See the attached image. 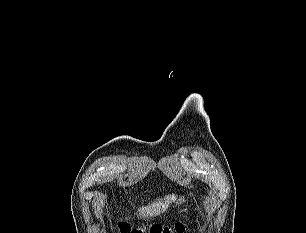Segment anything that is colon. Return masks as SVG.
I'll list each match as a JSON object with an SVG mask.
<instances>
[{"instance_id":"colon-1","label":"colon","mask_w":306,"mask_h":233,"mask_svg":"<svg viewBox=\"0 0 306 233\" xmlns=\"http://www.w3.org/2000/svg\"><path fill=\"white\" fill-rule=\"evenodd\" d=\"M121 233H184L186 226L183 223H176L172 226L152 225L149 227H130L122 224L119 227Z\"/></svg>"}]
</instances>
